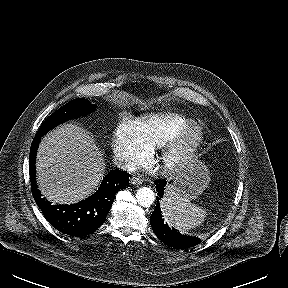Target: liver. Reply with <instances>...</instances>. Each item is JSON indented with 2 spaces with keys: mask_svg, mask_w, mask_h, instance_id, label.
<instances>
[{
  "mask_svg": "<svg viewBox=\"0 0 288 288\" xmlns=\"http://www.w3.org/2000/svg\"><path fill=\"white\" fill-rule=\"evenodd\" d=\"M36 170L44 197L53 204H71L97 189L105 162L93 137L77 125L63 124L41 141Z\"/></svg>",
  "mask_w": 288,
  "mask_h": 288,
  "instance_id": "obj_1",
  "label": "liver"
}]
</instances>
